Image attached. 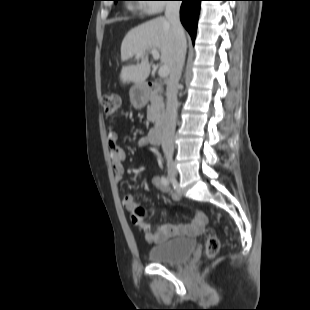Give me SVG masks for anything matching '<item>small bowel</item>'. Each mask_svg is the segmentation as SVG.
<instances>
[{"mask_svg":"<svg viewBox=\"0 0 310 310\" xmlns=\"http://www.w3.org/2000/svg\"><path fill=\"white\" fill-rule=\"evenodd\" d=\"M117 142L118 137L115 128H108L107 143L109 147V154L114 169V179L117 183H119L123 176V164L126 161V154L118 146ZM137 143L140 147H146L148 141L145 137H141L138 139ZM150 182L160 191L169 193L173 201H178L180 199V197L174 193L168 185H165L162 182V179L159 176H153L150 179ZM122 205L128 212L131 213L133 224L141 229L145 234V239L153 244H161L177 235H195L199 233L207 224L206 215L201 211H197L194 214L192 222L186 225H175L172 223L153 225L136 214L138 204L133 195H125L122 199Z\"/></svg>","mask_w":310,"mask_h":310,"instance_id":"1","label":"small bowel"}]
</instances>
